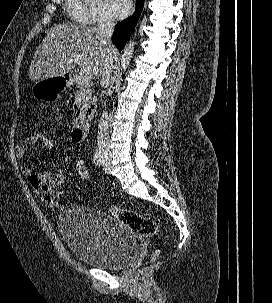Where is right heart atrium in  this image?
Returning a JSON list of instances; mask_svg holds the SVG:
<instances>
[{
	"mask_svg": "<svg viewBox=\"0 0 272 303\" xmlns=\"http://www.w3.org/2000/svg\"><path fill=\"white\" fill-rule=\"evenodd\" d=\"M88 11L89 23L107 24L112 22V17L104 0H85Z\"/></svg>",
	"mask_w": 272,
	"mask_h": 303,
	"instance_id": "1",
	"label": "right heart atrium"
}]
</instances>
